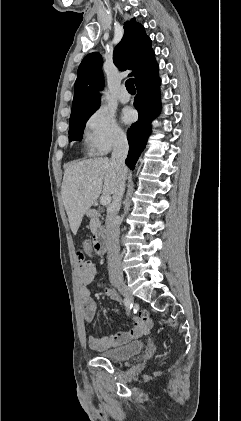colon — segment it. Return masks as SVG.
Masks as SVG:
<instances>
[{
	"mask_svg": "<svg viewBox=\"0 0 241 421\" xmlns=\"http://www.w3.org/2000/svg\"><path fill=\"white\" fill-rule=\"evenodd\" d=\"M95 250L94 249V245L93 243H91L90 241L86 240L82 243L81 245V249L78 252L79 258L81 260L85 259L86 255H89L90 253H92V251ZM87 263H90V261H86Z\"/></svg>",
	"mask_w": 241,
	"mask_h": 421,
	"instance_id": "5ec220e1",
	"label": "colon"
}]
</instances>
